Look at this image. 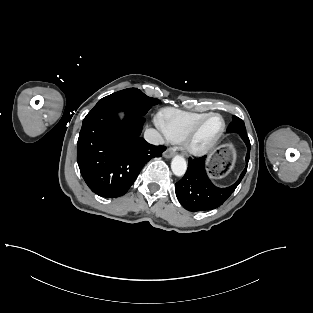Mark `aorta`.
Instances as JSON below:
<instances>
[{"mask_svg":"<svg viewBox=\"0 0 313 313\" xmlns=\"http://www.w3.org/2000/svg\"><path fill=\"white\" fill-rule=\"evenodd\" d=\"M171 169L174 175L181 177L186 173L187 163L186 160L180 156L176 155L171 162Z\"/></svg>","mask_w":313,"mask_h":313,"instance_id":"obj_1","label":"aorta"}]
</instances>
